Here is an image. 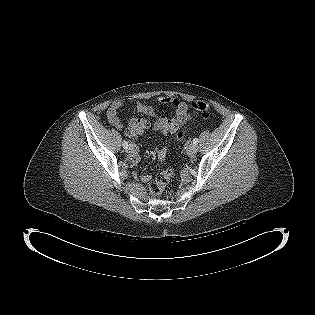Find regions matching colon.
<instances>
[{
  "mask_svg": "<svg viewBox=\"0 0 315 315\" xmlns=\"http://www.w3.org/2000/svg\"><path fill=\"white\" fill-rule=\"evenodd\" d=\"M191 107L201 112L204 115H208L210 111V106L206 101L203 100H196L191 104ZM140 121L139 119L132 121L131 124ZM186 132L181 130L177 133V139L182 141L185 138ZM175 175V171L173 169H167L156 176V179L153 183L150 184V192L153 195H160L164 188L166 187L167 183L170 179Z\"/></svg>",
  "mask_w": 315,
  "mask_h": 315,
  "instance_id": "1",
  "label": "colon"
}]
</instances>
